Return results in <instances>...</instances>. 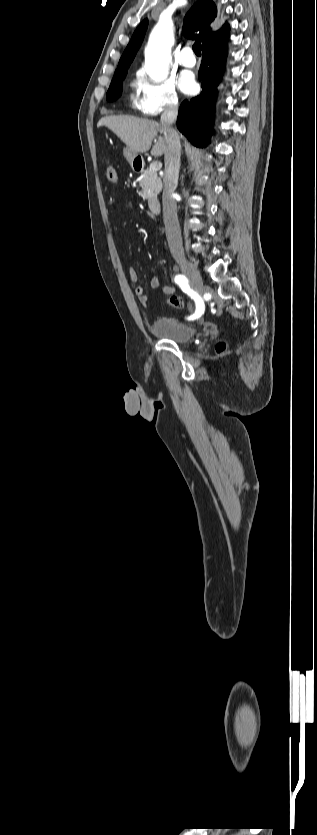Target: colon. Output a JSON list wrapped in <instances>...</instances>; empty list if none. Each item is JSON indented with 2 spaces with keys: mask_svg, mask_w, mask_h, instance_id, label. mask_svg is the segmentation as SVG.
<instances>
[{
  "mask_svg": "<svg viewBox=\"0 0 317 835\" xmlns=\"http://www.w3.org/2000/svg\"><path fill=\"white\" fill-rule=\"evenodd\" d=\"M106 177H107L108 181H109V182H111V183H115V182H117V179H118V174H117L116 169H115L113 166H108V167H107V169H106ZM167 303H168L170 306H172V307H174V308H176V309H182V308L184 307V301H183V299H182V298H180L179 296H175V295H172V296L168 297V299H167ZM225 349H226V346H225V344H224V343H220V344H218V346H217V352L222 353V352H224V351H225Z\"/></svg>",
  "mask_w": 317,
  "mask_h": 835,
  "instance_id": "obj_1",
  "label": "colon"
}]
</instances>
